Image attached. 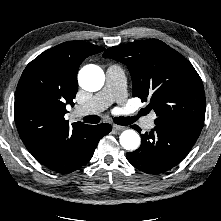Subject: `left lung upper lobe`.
Masks as SVG:
<instances>
[{
  "label": "left lung upper lobe",
  "mask_w": 221,
  "mask_h": 221,
  "mask_svg": "<svg viewBox=\"0 0 221 221\" xmlns=\"http://www.w3.org/2000/svg\"><path fill=\"white\" fill-rule=\"evenodd\" d=\"M103 57L127 66L133 81L132 95L150 100L148 109L156 112V126L200 135L205 93L200 76L186 58L157 39L110 47Z\"/></svg>",
  "instance_id": "left-lung-upper-lobe-1"
}]
</instances>
